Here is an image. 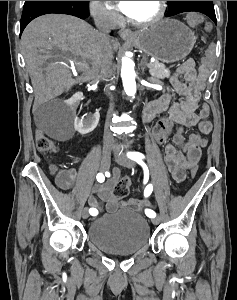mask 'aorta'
<instances>
[{
  "instance_id": "1",
  "label": "aorta",
  "mask_w": 237,
  "mask_h": 300,
  "mask_svg": "<svg viewBox=\"0 0 237 300\" xmlns=\"http://www.w3.org/2000/svg\"><path fill=\"white\" fill-rule=\"evenodd\" d=\"M121 77L126 95L134 97L136 93V73L134 71V63L128 57H123L122 59Z\"/></svg>"
}]
</instances>
